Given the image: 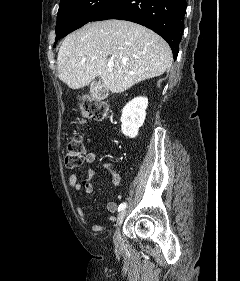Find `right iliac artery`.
Here are the masks:
<instances>
[{
    "mask_svg": "<svg viewBox=\"0 0 240 281\" xmlns=\"http://www.w3.org/2000/svg\"><path fill=\"white\" fill-rule=\"evenodd\" d=\"M126 206H127V203H126V202L120 204L119 207H118V211L124 210V209L126 208Z\"/></svg>",
    "mask_w": 240,
    "mask_h": 281,
    "instance_id": "obj_1",
    "label": "right iliac artery"
}]
</instances>
